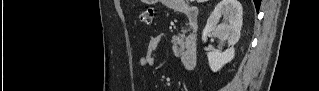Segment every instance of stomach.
<instances>
[{
	"instance_id": "obj_1",
	"label": "stomach",
	"mask_w": 319,
	"mask_h": 91,
	"mask_svg": "<svg viewBox=\"0 0 319 91\" xmlns=\"http://www.w3.org/2000/svg\"><path fill=\"white\" fill-rule=\"evenodd\" d=\"M147 2H149V4H153L155 2H157V0H146ZM164 3H168L170 2L172 5H176L178 0H163Z\"/></svg>"
}]
</instances>
